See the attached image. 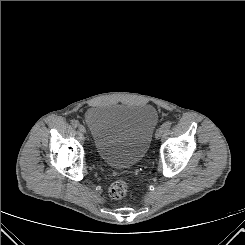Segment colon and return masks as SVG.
Returning <instances> with one entry per match:
<instances>
[{
    "mask_svg": "<svg viewBox=\"0 0 245 245\" xmlns=\"http://www.w3.org/2000/svg\"><path fill=\"white\" fill-rule=\"evenodd\" d=\"M130 190L129 173L126 174L123 180L114 182L109 188V196L114 200L124 198Z\"/></svg>",
    "mask_w": 245,
    "mask_h": 245,
    "instance_id": "obj_1",
    "label": "colon"
}]
</instances>
